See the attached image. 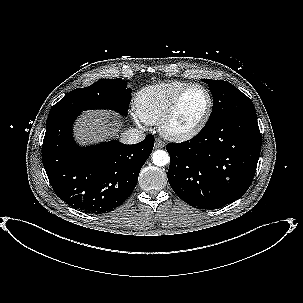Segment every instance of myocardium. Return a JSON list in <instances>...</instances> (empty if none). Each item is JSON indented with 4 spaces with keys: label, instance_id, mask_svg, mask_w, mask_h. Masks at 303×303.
Segmentation results:
<instances>
[{
    "label": "myocardium",
    "instance_id": "myocardium-1",
    "mask_svg": "<svg viewBox=\"0 0 303 303\" xmlns=\"http://www.w3.org/2000/svg\"><path fill=\"white\" fill-rule=\"evenodd\" d=\"M193 88L202 89L207 96V107L205 112L199 121L189 129L186 130H174L171 128V122L175 117L184 97ZM213 109V98L211 92L204 85L199 83H192L185 87L173 100L168 109L163 113L158 121V128L160 133L167 139L172 141L182 142L192 139L198 135L202 129L206 126Z\"/></svg>",
    "mask_w": 303,
    "mask_h": 303
}]
</instances>
